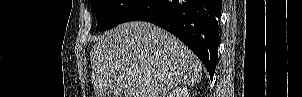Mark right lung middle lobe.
<instances>
[{
  "label": "right lung middle lobe",
  "instance_id": "obj_1",
  "mask_svg": "<svg viewBox=\"0 0 302 97\" xmlns=\"http://www.w3.org/2000/svg\"><path fill=\"white\" fill-rule=\"evenodd\" d=\"M142 0H89L99 31L111 29L122 23L124 17Z\"/></svg>",
  "mask_w": 302,
  "mask_h": 97
}]
</instances>
